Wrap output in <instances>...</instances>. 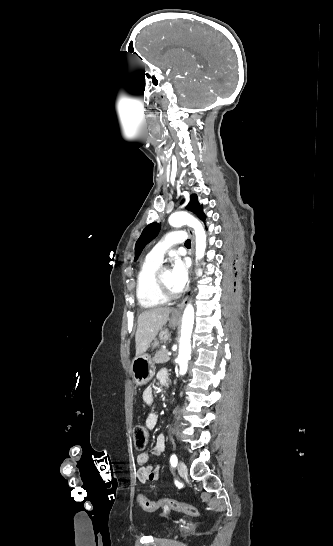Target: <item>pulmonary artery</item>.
I'll return each instance as SVG.
<instances>
[{
	"instance_id": "pulmonary-artery-1",
	"label": "pulmonary artery",
	"mask_w": 333,
	"mask_h": 546,
	"mask_svg": "<svg viewBox=\"0 0 333 546\" xmlns=\"http://www.w3.org/2000/svg\"><path fill=\"white\" fill-rule=\"evenodd\" d=\"M186 238L187 235L184 231L178 230L167 233L148 253L147 258L161 263L167 250L175 244L185 243Z\"/></svg>"
}]
</instances>
